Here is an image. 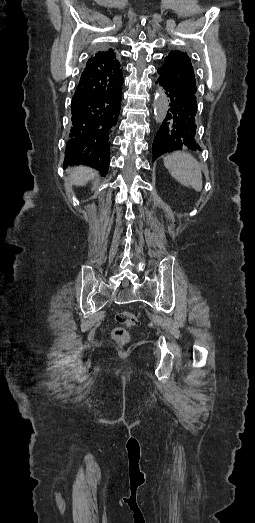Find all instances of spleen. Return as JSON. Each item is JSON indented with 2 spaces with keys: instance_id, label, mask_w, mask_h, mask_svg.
<instances>
[{
  "instance_id": "obj_1",
  "label": "spleen",
  "mask_w": 255,
  "mask_h": 523,
  "mask_svg": "<svg viewBox=\"0 0 255 523\" xmlns=\"http://www.w3.org/2000/svg\"><path fill=\"white\" fill-rule=\"evenodd\" d=\"M164 166L169 170L172 178L182 186H191L196 192L202 190V174L198 162L186 152H173L165 156Z\"/></svg>"
}]
</instances>
